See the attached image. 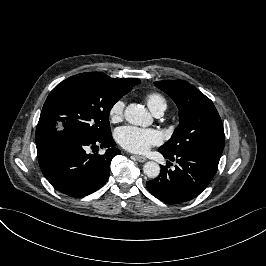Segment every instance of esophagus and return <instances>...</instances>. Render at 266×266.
<instances>
[{"label":"esophagus","mask_w":266,"mask_h":266,"mask_svg":"<svg viewBox=\"0 0 266 266\" xmlns=\"http://www.w3.org/2000/svg\"><path fill=\"white\" fill-rule=\"evenodd\" d=\"M135 159L138 161V162H145L147 159L146 157H143V156H140V155H134Z\"/></svg>","instance_id":"obj_1"}]
</instances>
